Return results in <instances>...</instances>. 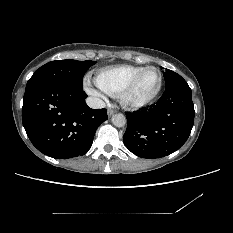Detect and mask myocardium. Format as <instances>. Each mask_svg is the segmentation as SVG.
I'll return each mask as SVG.
<instances>
[{
	"label": "myocardium",
	"instance_id": "f54148a6",
	"mask_svg": "<svg viewBox=\"0 0 233 233\" xmlns=\"http://www.w3.org/2000/svg\"><path fill=\"white\" fill-rule=\"evenodd\" d=\"M156 70L158 72L159 75V84L157 89L155 90V92L140 101H133L130 98V95L132 93V91L134 90L135 86L137 85L138 81L140 80V78L149 70ZM162 84H163V77H162V73L161 71L155 67V66H147L145 68H143L141 71H139L138 73H136L128 82L127 84L123 87V89L121 90L120 94H119V99L121 104L129 109H139L142 108L148 104H150L151 102H153L156 97L159 95L161 88H162Z\"/></svg>",
	"mask_w": 233,
	"mask_h": 233
}]
</instances>
